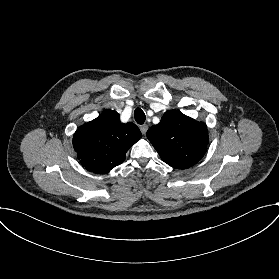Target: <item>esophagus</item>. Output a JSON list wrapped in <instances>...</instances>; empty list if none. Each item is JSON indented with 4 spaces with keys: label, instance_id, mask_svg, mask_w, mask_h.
<instances>
[{
    "label": "esophagus",
    "instance_id": "34e87169",
    "mask_svg": "<svg viewBox=\"0 0 279 279\" xmlns=\"http://www.w3.org/2000/svg\"><path fill=\"white\" fill-rule=\"evenodd\" d=\"M140 130H141L142 134L145 135L148 130V125L147 124L141 125Z\"/></svg>",
    "mask_w": 279,
    "mask_h": 279
}]
</instances>
